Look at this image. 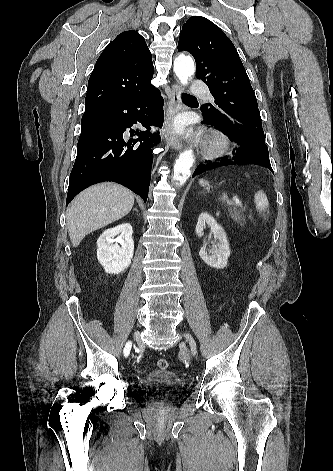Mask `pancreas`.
Returning a JSON list of instances; mask_svg holds the SVG:
<instances>
[{
	"label": "pancreas",
	"instance_id": "pancreas-1",
	"mask_svg": "<svg viewBox=\"0 0 333 471\" xmlns=\"http://www.w3.org/2000/svg\"><path fill=\"white\" fill-rule=\"evenodd\" d=\"M230 217L232 220L240 225H243L245 223V217L244 215L241 214L239 210L236 208L230 209L229 210Z\"/></svg>",
	"mask_w": 333,
	"mask_h": 471
}]
</instances>
